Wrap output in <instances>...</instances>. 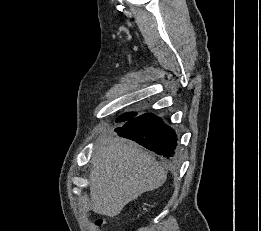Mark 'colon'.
Segmentation results:
<instances>
[{
	"label": "colon",
	"instance_id": "colon-1",
	"mask_svg": "<svg viewBox=\"0 0 261 231\" xmlns=\"http://www.w3.org/2000/svg\"><path fill=\"white\" fill-rule=\"evenodd\" d=\"M103 224H104V220H98V221L96 222V227H97V228H100V227H102Z\"/></svg>",
	"mask_w": 261,
	"mask_h": 231
}]
</instances>
